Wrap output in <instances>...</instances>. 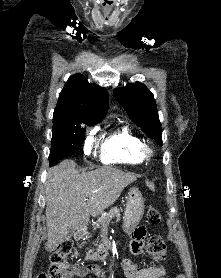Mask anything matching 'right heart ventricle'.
Masks as SVG:
<instances>
[{"label":"right heart ventricle","instance_id":"obj_1","mask_svg":"<svg viewBox=\"0 0 221 278\" xmlns=\"http://www.w3.org/2000/svg\"><path fill=\"white\" fill-rule=\"evenodd\" d=\"M140 143L141 139L129 127H119L103 139L100 160L104 164H140L143 161L138 153Z\"/></svg>","mask_w":221,"mask_h":278}]
</instances>
